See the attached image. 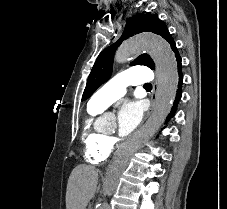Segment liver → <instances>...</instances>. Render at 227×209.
I'll return each mask as SVG.
<instances>
[{"label":"liver","instance_id":"1","mask_svg":"<svg viewBox=\"0 0 227 209\" xmlns=\"http://www.w3.org/2000/svg\"><path fill=\"white\" fill-rule=\"evenodd\" d=\"M97 185V171L89 165L73 169L67 185L66 209H85Z\"/></svg>","mask_w":227,"mask_h":209}]
</instances>
